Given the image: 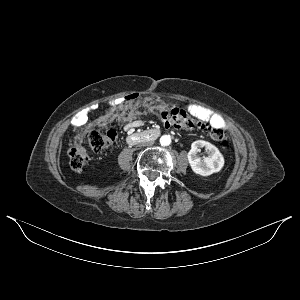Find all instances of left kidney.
<instances>
[{"instance_id": "obj_1", "label": "left kidney", "mask_w": 300, "mask_h": 300, "mask_svg": "<svg viewBox=\"0 0 300 300\" xmlns=\"http://www.w3.org/2000/svg\"><path fill=\"white\" fill-rule=\"evenodd\" d=\"M200 148H205L208 153V156L204 157L203 160L197 155ZM188 161L193 172L201 176H209L219 172L224 166V157L218 148L203 140H197L192 143L191 150L188 153Z\"/></svg>"}]
</instances>
